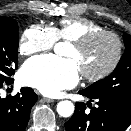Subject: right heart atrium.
<instances>
[{
  "instance_id": "right-heart-atrium-1",
  "label": "right heart atrium",
  "mask_w": 131,
  "mask_h": 131,
  "mask_svg": "<svg viewBox=\"0 0 131 131\" xmlns=\"http://www.w3.org/2000/svg\"><path fill=\"white\" fill-rule=\"evenodd\" d=\"M57 42L55 31L52 27L42 24L28 26L19 42V53L31 55L37 52L50 50Z\"/></svg>"
}]
</instances>
